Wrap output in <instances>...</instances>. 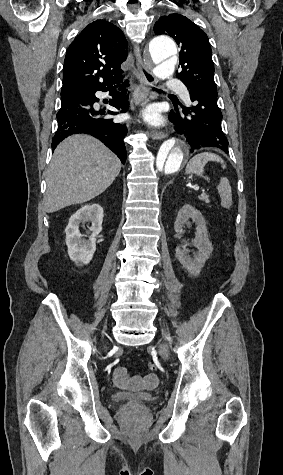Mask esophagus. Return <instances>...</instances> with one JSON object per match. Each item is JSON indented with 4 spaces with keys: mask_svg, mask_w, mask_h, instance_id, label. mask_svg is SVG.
Segmentation results:
<instances>
[{
    "mask_svg": "<svg viewBox=\"0 0 283 475\" xmlns=\"http://www.w3.org/2000/svg\"><path fill=\"white\" fill-rule=\"evenodd\" d=\"M134 53L136 59V66L139 72L138 78L141 81L140 85L136 88V91H138L143 96L139 97V100L143 102V105H145L148 102L147 95L149 93V90L157 83V79L143 62L138 45H135ZM150 135L154 140H161L165 137V133L163 131H159L156 129H153L150 132Z\"/></svg>",
    "mask_w": 283,
    "mask_h": 475,
    "instance_id": "1",
    "label": "esophagus"
}]
</instances>
